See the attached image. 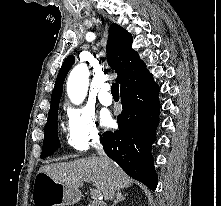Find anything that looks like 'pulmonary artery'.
Here are the masks:
<instances>
[{
    "instance_id": "obj_1",
    "label": "pulmonary artery",
    "mask_w": 221,
    "mask_h": 206,
    "mask_svg": "<svg viewBox=\"0 0 221 206\" xmlns=\"http://www.w3.org/2000/svg\"><path fill=\"white\" fill-rule=\"evenodd\" d=\"M110 88L111 86L109 84H104L99 92V101L105 106H109L113 102L112 96L110 94Z\"/></svg>"
}]
</instances>
